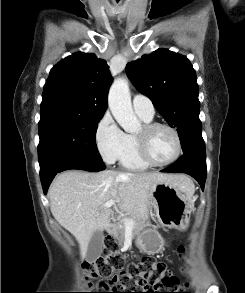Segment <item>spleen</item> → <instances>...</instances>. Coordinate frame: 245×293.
Returning <instances> with one entry per match:
<instances>
[{
    "label": "spleen",
    "instance_id": "1",
    "mask_svg": "<svg viewBox=\"0 0 245 293\" xmlns=\"http://www.w3.org/2000/svg\"><path fill=\"white\" fill-rule=\"evenodd\" d=\"M193 185V184H192ZM192 191H194V185H193V187H192V189H191Z\"/></svg>",
    "mask_w": 245,
    "mask_h": 293
}]
</instances>
